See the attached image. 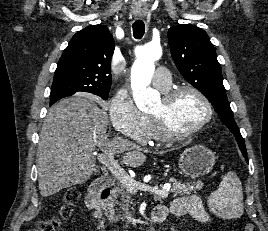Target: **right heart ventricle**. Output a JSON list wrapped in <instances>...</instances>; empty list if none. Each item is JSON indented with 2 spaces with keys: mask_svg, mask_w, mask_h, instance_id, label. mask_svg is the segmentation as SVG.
Listing matches in <instances>:
<instances>
[{
  "mask_svg": "<svg viewBox=\"0 0 268 231\" xmlns=\"http://www.w3.org/2000/svg\"><path fill=\"white\" fill-rule=\"evenodd\" d=\"M170 87V86H169ZM161 89L163 92H166L168 89ZM149 125H150V141H163L165 140L164 137L162 136L155 120L152 117H149Z\"/></svg>",
  "mask_w": 268,
  "mask_h": 231,
  "instance_id": "1",
  "label": "right heart ventricle"
}]
</instances>
